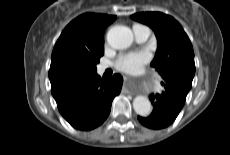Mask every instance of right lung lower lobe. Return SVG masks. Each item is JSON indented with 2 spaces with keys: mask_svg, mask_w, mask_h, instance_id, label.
I'll return each mask as SVG.
<instances>
[{
  "mask_svg": "<svg viewBox=\"0 0 230 155\" xmlns=\"http://www.w3.org/2000/svg\"><path fill=\"white\" fill-rule=\"evenodd\" d=\"M61 115L76 129L91 130L108 117L112 100L122 87L119 74L104 81L96 73L50 80Z\"/></svg>",
  "mask_w": 230,
  "mask_h": 155,
  "instance_id": "right-lung-lower-lobe-1",
  "label": "right lung lower lobe"
}]
</instances>
